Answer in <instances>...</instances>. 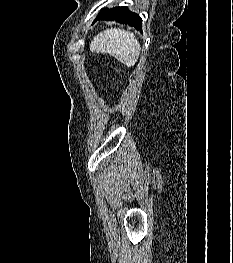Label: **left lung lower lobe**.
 Listing matches in <instances>:
<instances>
[{
  "instance_id": "left-lung-lower-lobe-1",
  "label": "left lung lower lobe",
  "mask_w": 233,
  "mask_h": 263,
  "mask_svg": "<svg viewBox=\"0 0 233 263\" xmlns=\"http://www.w3.org/2000/svg\"><path fill=\"white\" fill-rule=\"evenodd\" d=\"M98 19L109 21L115 20L119 23L135 27L137 30H141L142 28V19L140 16L136 13L130 12L127 7H113L109 10H104L100 13Z\"/></svg>"
}]
</instances>
